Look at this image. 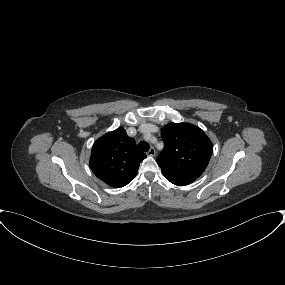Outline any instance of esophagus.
Segmentation results:
<instances>
[{
    "label": "esophagus",
    "instance_id": "obj_1",
    "mask_svg": "<svg viewBox=\"0 0 285 285\" xmlns=\"http://www.w3.org/2000/svg\"><path fill=\"white\" fill-rule=\"evenodd\" d=\"M147 154H148V156H155L156 151L153 147H151Z\"/></svg>",
    "mask_w": 285,
    "mask_h": 285
}]
</instances>
